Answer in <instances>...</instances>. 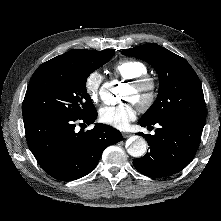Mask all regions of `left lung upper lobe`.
<instances>
[{"instance_id": "obj_1", "label": "left lung upper lobe", "mask_w": 221, "mask_h": 221, "mask_svg": "<svg viewBox=\"0 0 221 221\" xmlns=\"http://www.w3.org/2000/svg\"><path fill=\"white\" fill-rule=\"evenodd\" d=\"M122 53L149 63L159 77L157 99L140 120L153 122L178 118L205 123L202 86L184 58L154 43L124 49Z\"/></svg>"}]
</instances>
